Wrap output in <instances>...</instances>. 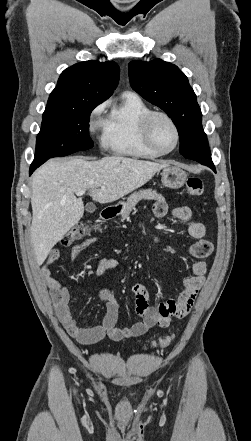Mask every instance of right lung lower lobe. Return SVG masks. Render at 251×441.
<instances>
[{
  "mask_svg": "<svg viewBox=\"0 0 251 441\" xmlns=\"http://www.w3.org/2000/svg\"><path fill=\"white\" fill-rule=\"evenodd\" d=\"M48 159H39V158H35L33 163L30 166V175L32 174V172L39 167L40 165H42L45 161H47Z\"/></svg>",
  "mask_w": 251,
  "mask_h": 441,
  "instance_id": "right-lung-lower-lobe-1",
  "label": "right lung lower lobe"
}]
</instances>
